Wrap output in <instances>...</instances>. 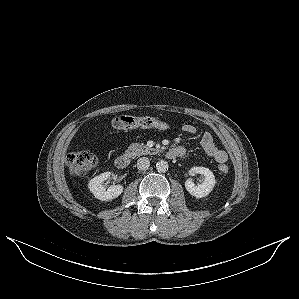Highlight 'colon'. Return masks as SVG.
<instances>
[{
	"instance_id": "1",
	"label": "colon",
	"mask_w": 299,
	"mask_h": 299,
	"mask_svg": "<svg viewBox=\"0 0 299 299\" xmlns=\"http://www.w3.org/2000/svg\"><path fill=\"white\" fill-rule=\"evenodd\" d=\"M111 126L117 130H128L136 127L154 128L161 131L170 130V125L155 117L119 116L112 120ZM97 164V158L88 151L73 153L67 158V166L75 176H83L90 172ZM219 169L223 173L228 172V166L221 164Z\"/></svg>"
}]
</instances>
